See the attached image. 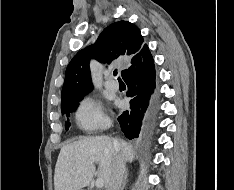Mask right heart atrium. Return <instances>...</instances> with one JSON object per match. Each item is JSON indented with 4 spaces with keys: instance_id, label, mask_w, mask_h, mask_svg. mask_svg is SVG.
Returning a JSON list of instances; mask_svg holds the SVG:
<instances>
[{
    "instance_id": "d8ad5b80",
    "label": "right heart atrium",
    "mask_w": 234,
    "mask_h": 190,
    "mask_svg": "<svg viewBox=\"0 0 234 190\" xmlns=\"http://www.w3.org/2000/svg\"><path fill=\"white\" fill-rule=\"evenodd\" d=\"M75 121L84 131H99L106 128L109 123L99 102L90 97H85L78 103Z\"/></svg>"
}]
</instances>
